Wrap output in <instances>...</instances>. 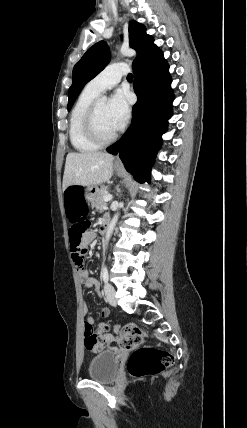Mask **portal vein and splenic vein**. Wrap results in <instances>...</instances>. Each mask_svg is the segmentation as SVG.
<instances>
[{
    "label": "portal vein and splenic vein",
    "mask_w": 247,
    "mask_h": 428,
    "mask_svg": "<svg viewBox=\"0 0 247 428\" xmlns=\"http://www.w3.org/2000/svg\"><path fill=\"white\" fill-rule=\"evenodd\" d=\"M112 200V195H106V196H104V201L105 202H108V201H111Z\"/></svg>",
    "instance_id": "portal-vein-and-splenic-vein-1"
}]
</instances>
